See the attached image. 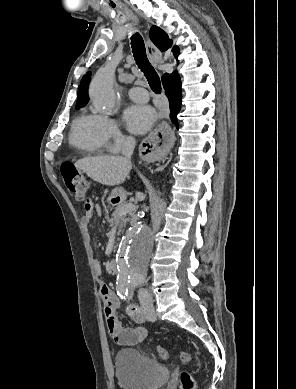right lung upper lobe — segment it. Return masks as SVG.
I'll return each instance as SVG.
<instances>
[{"instance_id": "right-lung-upper-lobe-1", "label": "right lung upper lobe", "mask_w": 296, "mask_h": 389, "mask_svg": "<svg viewBox=\"0 0 296 389\" xmlns=\"http://www.w3.org/2000/svg\"><path fill=\"white\" fill-rule=\"evenodd\" d=\"M150 38L152 42L161 50H167L168 48L171 47L172 41L169 39L168 35L159 27L157 26H152L150 29ZM172 52L174 56L177 58L179 55V49L177 46H174L172 49ZM177 74V73H173ZM173 74H167L165 73L162 76V82L165 81L168 77H170ZM90 82V73H87L86 75L83 76L79 90H78V95H77V108L78 107H83L85 106L88 101V85Z\"/></svg>"}]
</instances>
